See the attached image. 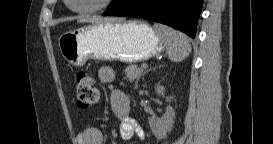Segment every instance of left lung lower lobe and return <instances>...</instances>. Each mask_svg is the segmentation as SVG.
Returning <instances> with one entry per match:
<instances>
[{"label":"left lung lower lobe","instance_id":"0a47b994","mask_svg":"<svg viewBox=\"0 0 273 144\" xmlns=\"http://www.w3.org/2000/svg\"><path fill=\"white\" fill-rule=\"evenodd\" d=\"M202 4L203 0H114L103 15L152 20L195 38Z\"/></svg>","mask_w":273,"mask_h":144}]
</instances>
